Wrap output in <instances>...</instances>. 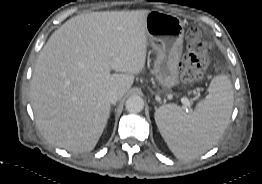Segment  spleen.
<instances>
[{"label": "spleen", "instance_id": "obj_1", "mask_svg": "<svg viewBox=\"0 0 262 184\" xmlns=\"http://www.w3.org/2000/svg\"><path fill=\"white\" fill-rule=\"evenodd\" d=\"M208 95L194 110L167 104L155 111V122L172 153L191 160L211 149L224 133L232 113L234 96L228 76H215Z\"/></svg>", "mask_w": 262, "mask_h": 184}]
</instances>
